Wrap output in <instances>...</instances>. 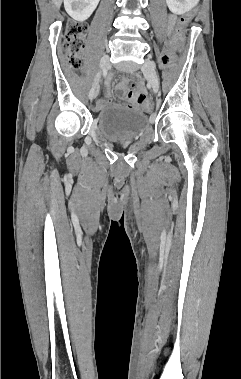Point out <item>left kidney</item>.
Listing matches in <instances>:
<instances>
[{
    "mask_svg": "<svg viewBox=\"0 0 241 379\" xmlns=\"http://www.w3.org/2000/svg\"><path fill=\"white\" fill-rule=\"evenodd\" d=\"M199 0H166L170 11L176 15H182L198 4Z\"/></svg>",
    "mask_w": 241,
    "mask_h": 379,
    "instance_id": "obj_1",
    "label": "left kidney"
}]
</instances>
